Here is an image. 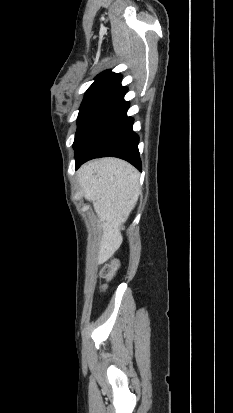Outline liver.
Masks as SVG:
<instances>
[{"label": "liver", "mask_w": 233, "mask_h": 413, "mask_svg": "<svg viewBox=\"0 0 233 413\" xmlns=\"http://www.w3.org/2000/svg\"><path fill=\"white\" fill-rule=\"evenodd\" d=\"M85 198L99 218L101 239L98 263H104L122 243L121 230L141 193L139 173L118 158H100L84 164L78 172Z\"/></svg>", "instance_id": "6515ba94"}]
</instances>
